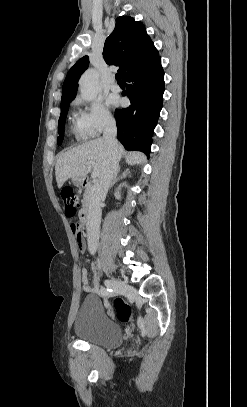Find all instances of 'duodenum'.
Segmentation results:
<instances>
[{
	"mask_svg": "<svg viewBox=\"0 0 247 407\" xmlns=\"http://www.w3.org/2000/svg\"><path fill=\"white\" fill-rule=\"evenodd\" d=\"M85 185L88 186L89 182H85ZM80 222L84 225H87L91 219V207L89 205H85L82 207L79 213Z\"/></svg>",
	"mask_w": 247,
	"mask_h": 407,
	"instance_id": "1",
	"label": "duodenum"
}]
</instances>
